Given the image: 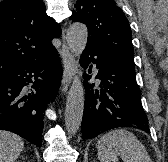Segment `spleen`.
Instances as JSON below:
<instances>
[{
	"label": "spleen",
	"instance_id": "1",
	"mask_svg": "<svg viewBox=\"0 0 168 162\" xmlns=\"http://www.w3.org/2000/svg\"><path fill=\"white\" fill-rule=\"evenodd\" d=\"M96 148L100 162H118L116 150L124 162H152L144 145L125 129L109 131L97 141Z\"/></svg>",
	"mask_w": 168,
	"mask_h": 162
}]
</instances>
